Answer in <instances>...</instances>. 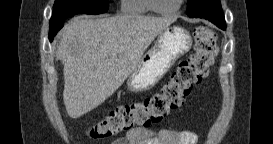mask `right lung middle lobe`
Masks as SVG:
<instances>
[{
  "label": "right lung middle lobe",
  "mask_w": 273,
  "mask_h": 144,
  "mask_svg": "<svg viewBox=\"0 0 273 144\" xmlns=\"http://www.w3.org/2000/svg\"><path fill=\"white\" fill-rule=\"evenodd\" d=\"M108 11V0H55L49 36L56 35L66 18L75 14H101Z\"/></svg>",
  "instance_id": "obj_1"
}]
</instances>
